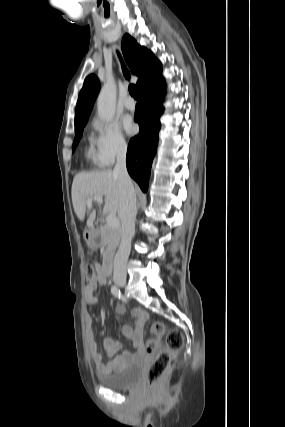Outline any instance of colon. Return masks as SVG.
<instances>
[{
    "label": "colon",
    "mask_w": 285,
    "mask_h": 427,
    "mask_svg": "<svg viewBox=\"0 0 285 427\" xmlns=\"http://www.w3.org/2000/svg\"><path fill=\"white\" fill-rule=\"evenodd\" d=\"M85 275L88 281L96 279V270L92 264H87L85 267ZM165 329L162 323L155 322L151 324L149 329V337L147 339V350L150 353L156 352L159 347L160 338L164 334ZM183 346V336L177 329H169L165 333V349L156 353L147 371V383L151 386L157 384L161 377L166 372L173 355Z\"/></svg>",
    "instance_id": "1"
}]
</instances>
